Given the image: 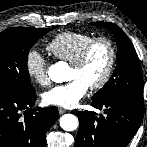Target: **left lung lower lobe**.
I'll use <instances>...</instances> for the list:
<instances>
[{
    "instance_id": "1",
    "label": "left lung lower lobe",
    "mask_w": 147,
    "mask_h": 147,
    "mask_svg": "<svg viewBox=\"0 0 147 147\" xmlns=\"http://www.w3.org/2000/svg\"><path fill=\"white\" fill-rule=\"evenodd\" d=\"M105 115L77 112L80 126L74 147H126L141 125L144 103L131 98L92 100Z\"/></svg>"
}]
</instances>
